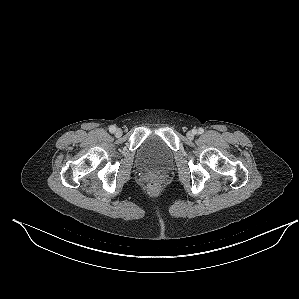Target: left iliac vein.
<instances>
[{"instance_id": "left-iliac-vein-1", "label": "left iliac vein", "mask_w": 299, "mask_h": 299, "mask_svg": "<svg viewBox=\"0 0 299 299\" xmlns=\"http://www.w3.org/2000/svg\"><path fill=\"white\" fill-rule=\"evenodd\" d=\"M197 133V131L196 130H192V131H189L188 133H187V137H188V139H193L194 138V135Z\"/></svg>"}]
</instances>
